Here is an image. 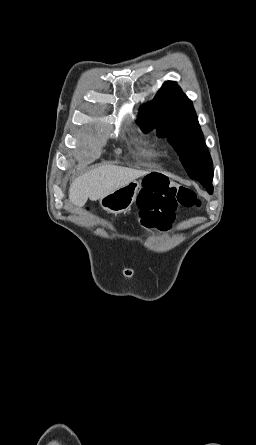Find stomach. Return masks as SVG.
I'll return each instance as SVG.
<instances>
[{
  "instance_id": "0dacf381",
  "label": "stomach",
  "mask_w": 256,
  "mask_h": 445,
  "mask_svg": "<svg viewBox=\"0 0 256 445\" xmlns=\"http://www.w3.org/2000/svg\"><path fill=\"white\" fill-rule=\"evenodd\" d=\"M141 187V181H131L127 185L102 197L100 205L104 210L115 215L125 213L134 203Z\"/></svg>"
}]
</instances>
